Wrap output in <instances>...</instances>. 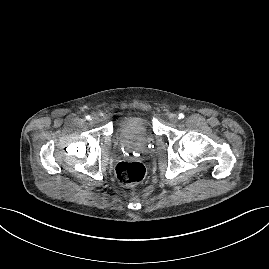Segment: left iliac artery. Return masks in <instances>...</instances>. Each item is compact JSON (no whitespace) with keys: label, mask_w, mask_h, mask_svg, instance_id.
Here are the masks:
<instances>
[{"label":"left iliac artery","mask_w":269,"mask_h":269,"mask_svg":"<svg viewBox=\"0 0 269 269\" xmlns=\"http://www.w3.org/2000/svg\"><path fill=\"white\" fill-rule=\"evenodd\" d=\"M178 118H179V119H183V118H184V114L180 113V114L178 115Z\"/></svg>","instance_id":"44dca946"}]
</instances>
